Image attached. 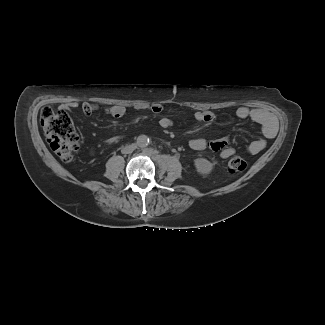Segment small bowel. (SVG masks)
I'll use <instances>...</instances> for the list:
<instances>
[{
    "label": "small bowel",
    "mask_w": 325,
    "mask_h": 325,
    "mask_svg": "<svg viewBox=\"0 0 325 325\" xmlns=\"http://www.w3.org/2000/svg\"><path fill=\"white\" fill-rule=\"evenodd\" d=\"M79 107L78 103L70 104H60L57 107V112L61 115V120L67 126L69 132L75 131V119L70 118L73 113V109ZM139 110H150L154 114H160L164 110V106L160 103L149 105H140L137 107ZM95 109V106L89 102H84L82 104V110L86 114H91ZM109 114L114 118H121L126 114L125 107L121 105H114L109 108ZM236 115L238 118L247 119L250 118L262 129L264 138H259L252 141L248 147L247 151L250 154H257L261 152L266 147V139L273 138L275 136L277 127L273 117L268 114L265 110L260 108L251 109L247 106H239L236 110ZM193 118L198 122L213 123L216 120L215 115L208 111H195L193 113ZM159 125L162 129H171L174 127L175 122L168 118L163 117L159 120ZM189 146L191 149L196 151H202L205 149H210L212 151L219 152L222 158H229L235 154V148L231 145L229 136H225L213 141H206L203 138H194L190 140Z\"/></svg>",
    "instance_id": "small-bowel-1"
}]
</instances>
